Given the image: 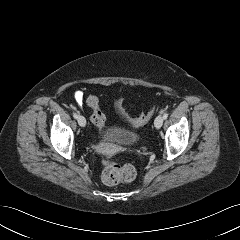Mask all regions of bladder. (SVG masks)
<instances>
[{"label":"bladder","mask_w":240,"mask_h":240,"mask_svg":"<svg viewBox=\"0 0 240 240\" xmlns=\"http://www.w3.org/2000/svg\"><path fill=\"white\" fill-rule=\"evenodd\" d=\"M137 138V134L127 128L116 126L111 129L108 139L111 142H114L123 146H130L134 143Z\"/></svg>","instance_id":"1"}]
</instances>
